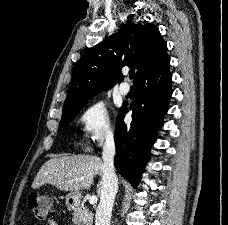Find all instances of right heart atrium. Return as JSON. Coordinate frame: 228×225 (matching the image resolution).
I'll list each match as a JSON object with an SVG mask.
<instances>
[{
  "label": "right heart atrium",
  "mask_w": 228,
  "mask_h": 225,
  "mask_svg": "<svg viewBox=\"0 0 228 225\" xmlns=\"http://www.w3.org/2000/svg\"><path fill=\"white\" fill-rule=\"evenodd\" d=\"M83 140L87 144L100 145L113 137L108 108L102 102H93L79 114Z\"/></svg>",
  "instance_id": "1"
}]
</instances>
